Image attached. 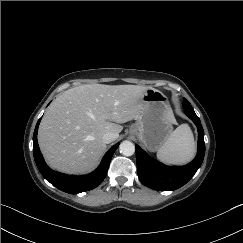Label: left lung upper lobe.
Here are the masks:
<instances>
[{
  "instance_id": "5c2ea615",
  "label": "left lung upper lobe",
  "mask_w": 243,
  "mask_h": 243,
  "mask_svg": "<svg viewBox=\"0 0 243 243\" xmlns=\"http://www.w3.org/2000/svg\"><path fill=\"white\" fill-rule=\"evenodd\" d=\"M183 105L191 106V104H190L186 99H184V103H183Z\"/></svg>"
}]
</instances>
